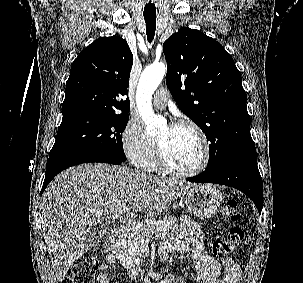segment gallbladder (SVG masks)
<instances>
[{
	"mask_svg": "<svg viewBox=\"0 0 303 283\" xmlns=\"http://www.w3.org/2000/svg\"><path fill=\"white\" fill-rule=\"evenodd\" d=\"M94 232H95L94 245H97V244L101 243V241L104 239L105 230L103 227H97V228H95Z\"/></svg>",
	"mask_w": 303,
	"mask_h": 283,
	"instance_id": "bac80fb5",
	"label": "gallbladder"
}]
</instances>
